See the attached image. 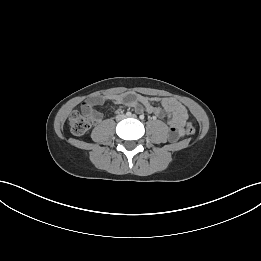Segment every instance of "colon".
Here are the masks:
<instances>
[{"label":"colon","instance_id":"5ec220e1","mask_svg":"<svg viewBox=\"0 0 261 261\" xmlns=\"http://www.w3.org/2000/svg\"><path fill=\"white\" fill-rule=\"evenodd\" d=\"M92 121L93 118L90 114L75 111L69 118L70 130L74 135H83L89 129ZM185 131L188 135H192L194 133L192 121L189 120L186 123Z\"/></svg>","mask_w":261,"mask_h":261}]
</instances>
